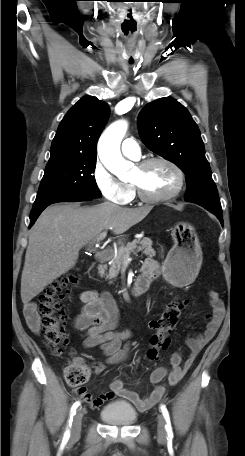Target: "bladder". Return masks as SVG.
I'll return each mask as SVG.
<instances>
[{"mask_svg":"<svg viewBox=\"0 0 245 456\" xmlns=\"http://www.w3.org/2000/svg\"><path fill=\"white\" fill-rule=\"evenodd\" d=\"M100 417L109 424L129 426L136 422L138 414L129 403L115 401L103 407Z\"/></svg>","mask_w":245,"mask_h":456,"instance_id":"bladder-1","label":"bladder"}]
</instances>
